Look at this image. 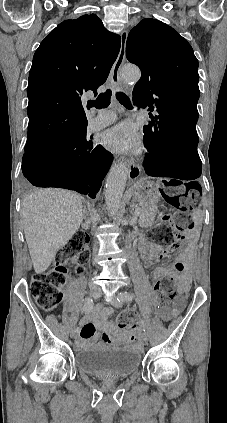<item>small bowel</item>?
I'll use <instances>...</instances> for the list:
<instances>
[{"label":"small bowel","mask_w":227,"mask_h":423,"mask_svg":"<svg viewBox=\"0 0 227 423\" xmlns=\"http://www.w3.org/2000/svg\"><path fill=\"white\" fill-rule=\"evenodd\" d=\"M148 250L145 254H143V258L145 263L152 267L154 263L161 259L165 255V250L162 249L161 246L150 243L148 244ZM175 269L180 273V287L182 290H185L188 284V273L186 271L185 263L183 259H179L175 263ZM171 273L170 269L164 266H155L153 268V278L155 280L163 278ZM185 304V299L180 298L177 299L172 306L168 307H158L159 314L163 320L169 321L176 317L182 310ZM113 313V310L109 307L103 308L101 306H97L92 309L91 313H89L81 323V330L78 333V337L76 339V345L78 347H85L90 342L95 340L96 338V330L100 329L103 331L102 334V341L104 343H112L118 341H134L138 338L140 332L138 329H135L131 332L124 333L116 330L114 325L108 321V318Z\"/></svg>","instance_id":"obj_1"}]
</instances>
